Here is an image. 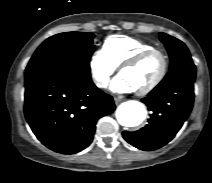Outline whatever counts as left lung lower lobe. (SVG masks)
<instances>
[{
  "label": "left lung lower lobe",
  "instance_id": "left-lung-lower-lobe-1",
  "mask_svg": "<svg viewBox=\"0 0 212 183\" xmlns=\"http://www.w3.org/2000/svg\"><path fill=\"white\" fill-rule=\"evenodd\" d=\"M196 67L190 58L170 68L164 79L142 101L151 111L148 124L124 139L145 151L158 149L173 139L188 118L194 102Z\"/></svg>",
  "mask_w": 212,
  "mask_h": 183
}]
</instances>
